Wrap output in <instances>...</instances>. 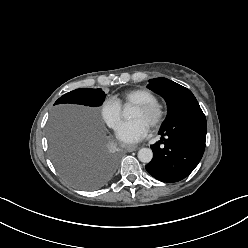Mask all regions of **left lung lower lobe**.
Segmentation results:
<instances>
[{
  "label": "left lung lower lobe",
  "mask_w": 248,
  "mask_h": 248,
  "mask_svg": "<svg viewBox=\"0 0 248 248\" xmlns=\"http://www.w3.org/2000/svg\"><path fill=\"white\" fill-rule=\"evenodd\" d=\"M206 118L198 102L185 106L161 127V140L151 145L153 159L146 170L162 182H178L198 165L205 150Z\"/></svg>",
  "instance_id": "obj_1"
}]
</instances>
